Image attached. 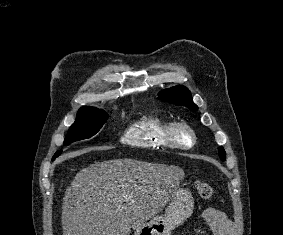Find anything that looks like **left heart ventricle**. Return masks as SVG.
Listing matches in <instances>:
<instances>
[{
	"label": "left heart ventricle",
	"instance_id": "1",
	"mask_svg": "<svg viewBox=\"0 0 283 235\" xmlns=\"http://www.w3.org/2000/svg\"><path fill=\"white\" fill-rule=\"evenodd\" d=\"M183 140H184L185 142H188V141H189V138L185 136Z\"/></svg>",
	"mask_w": 283,
	"mask_h": 235
}]
</instances>
